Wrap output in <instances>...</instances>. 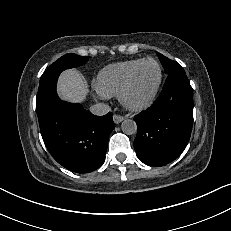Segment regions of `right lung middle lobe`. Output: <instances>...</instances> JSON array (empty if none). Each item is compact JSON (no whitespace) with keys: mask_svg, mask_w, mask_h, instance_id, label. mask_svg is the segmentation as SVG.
Returning a JSON list of instances; mask_svg holds the SVG:
<instances>
[{"mask_svg":"<svg viewBox=\"0 0 231 231\" xmlns=\"http://www.w3.org/2000/svg\"><path fill=\"white\" fill-rule=\"evenodd\" d=\"M89 57L87 56H78L73 53H68L57 61H55L42 75L40 82L55 75L60 74L63 70L68 68H73L81 66L88 61Z\"/></svg>","mask_w":231,"mask_h":231,"instance_id":"obj_1","label":"right lung middle lobe"}]
</instances>
